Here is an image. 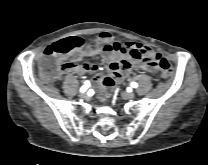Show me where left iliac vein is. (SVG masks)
Wrapping results in <instances>:
<instances>
[{
  "mask_svg": "<svg viewBox=\"0 0 208 165\" xmlns=\"http://www.w3.org/2000/svg\"><path fill=\"white\" fill-rule=\"evenodd\" d=\"M122 97L124 99H131V98L135 97V93L134 92L124 91V92H122Z\"/></svg>",
  "mask_w": 208,
  "mask_h": 165,
  "instance_id": "obj_1",
  "label": "left iliac vein"
}]
</instances>
